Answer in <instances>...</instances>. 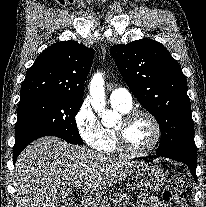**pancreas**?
Wrapping results in <instances>:
<instances>
[{
	"label": "pancreas",
	"mask_w": 206,
	"mask_h": 207,
	"mask_svg": "<svg viewBox=\"0 0 206 207\" xmlns=\"http://www.w3.org/2000/svg\"><path fill=\"white\" fill-rule=\"evenodd\" d=\"M131 206L130 202L121 193H111L105 196L100 203V207H126Z\"/></svg>",
	"instance_id": "obj_1"
}]
</instances>
